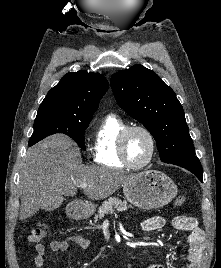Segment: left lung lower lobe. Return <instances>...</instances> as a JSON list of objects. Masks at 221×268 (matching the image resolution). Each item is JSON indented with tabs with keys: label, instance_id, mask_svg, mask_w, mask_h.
<instances>
[{
	"label": "left lung lower lobe",
	"instance_id": "0a47b994",
	"mask_svg": "<svg viewBox=\"0 0 221 268\" xmlns=\"http://www.w3.org/2000/svg\"><path fill=\"white\" fill-rule=\"evenodd\" d=\"M174 165L181 166L189 171H191L193 174L196 175V177L203 182L202 179V167L199 159L196 156H188L181 159H178L176 161L171 162Z\"/></svg>",
	"mask_w": 221,
	"mask_h": 268
}]
</instances>
